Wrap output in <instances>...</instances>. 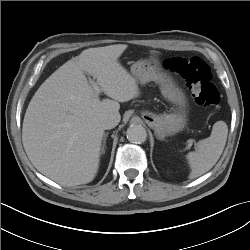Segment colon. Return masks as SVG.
<instances>
[{"mask_svg": "<svg viewBox=\"0 0 250 250\" xmlns=\"http://www.w3.org/2000/svg\"><path fill=\"white\" fill-rule=\"evenodd\" d=\"M165 67L185 80L199 105L214 108L219 104L220 94L212 83L211 70L200 57L170 58Z\"/></svg>", "mask_w": 250, "mask_h": 250, "instance_id": "1", "label": "colon"}]
</instances>
